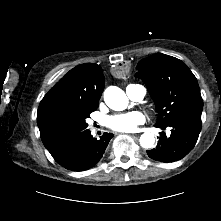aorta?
I'll list each match as a JSON object with an SVG mask.
<instances>
[{
  "label": "aorta",
  "mask_w": 221,
  "mask_h": 221,
  "mask_svg": "<svg viewBox=\"0 0 221 221\" xmlns=\"http://www.w3.org/2000/svg\"><path fill=\"white\" fill-rule=\"evenodd\" d=\"M104 101L109 108L115 111L126 109L129 103L125 92L116 86H110L105 90ZM139 142L143 148H152L155 143L154 134L150 132L143 133L140 136Z\"/></svg>",
  "instance_id": "aorta-1"
}]
</instances>
